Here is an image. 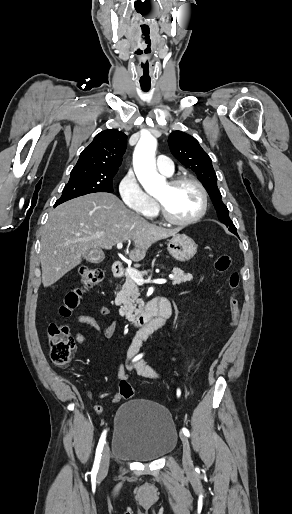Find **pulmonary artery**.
<instances>
[{
  "instance_id": "1",
  "label": "pulmonary artery",
  "mask_w": 292,
  "mask_h": 514,
  "mask_svg": "<svg viewBox=\"0 0 292 514\" xmlns=\"http://www.w3.org/2000/svg\"><path fill=\"white\" fill-rule=\"evenodd\" d=\"M163 156L162 154L160 155ZM158 170L166 177L172 176L174 169L172 167V160L169 157H163L157 165Z\"/></svg>"
}]
</instances>
